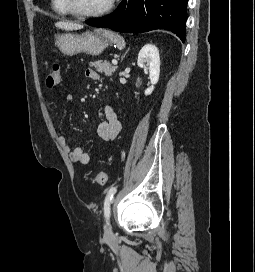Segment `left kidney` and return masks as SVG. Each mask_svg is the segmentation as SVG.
I'll return each mask as SVG.
<instances>
[{
	"label": "left kidney",
	"mask_w": 255,
	"mask_h": 272,
	"mask_svg": "<svg viewBox=\"0 0 255 272\" xmlns=\"http://www.w3.org/2000/svg\"><path fill=\"white\" fill-rule=\"evenodd\" d=\"M137 64L140 68L149 70L151 86L145 90V95H150L160 75V57L157 47L153 44H146L138 54Z\"/></svg>",
	"instance_id": "5707ae66"
}]
</instances>
